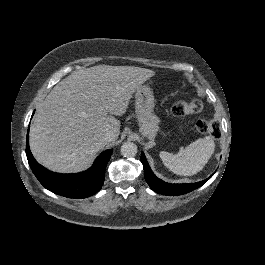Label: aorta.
<instances>
[{
    "instance_id": "aorta-1",
    "label": "aorta",
    "mask_w": 265,
    "mask_h": 265,
    "mask_svg": "<svg viewBox=\"0 0 265 265\" xmlns=\"http://www.w3.org/2000/svg\"><path fill=\"white\" fill-rule=\"evenodd\" d=\"M121 154L124 157L132 158L137 154V145L133 142H125L121 146Z\"/></svg>"
}]
</instances>
